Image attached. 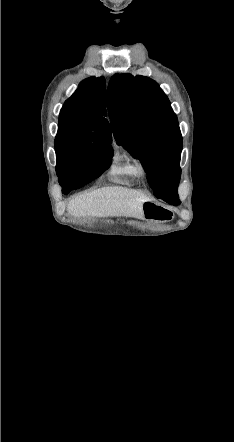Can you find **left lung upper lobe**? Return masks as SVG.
Returning a JSON list of instances; mask_svg holds the SVG:
<instances>
[{"label": "left lung upper lobe", "instance_id": "left-lung-upper-lobe-1", "mask_svg": "<svg viewBox=\"0 0 234 442\" xmlns=\"http://www.w3.org/2000/svg\"><path fill=\"white\" fill-rule=\"evenodd\" d=\"M107 106L117 143L140 160L154 195L167 203L179 200L182 136L159 85L145 76L115 75Z\"/></svg>", "mask_w": 234, "mask_h": 442}]
</instances>
